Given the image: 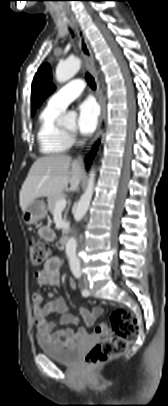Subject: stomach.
<instances>
[{
  "label": "stomach",
  "instance_id": "1",
  "mask_svg": "<svg viewBox=\"0 0 168 406\" xmlns=\"http://www.w3.org/2000/svg\"><path fill=\"white\" fill-rule=\"evenodd\" d=\"M47 215V208L43 200H34L26 210L23 211L22 219L25 224H36Z\"/></svg>",
  "mask_w": 168,
  "mask_h": 406
}]
</instances>
